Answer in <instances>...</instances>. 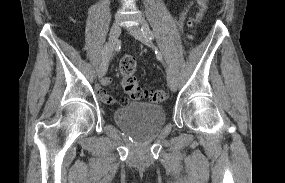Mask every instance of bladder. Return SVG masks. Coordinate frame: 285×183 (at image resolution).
<instances>
[{
    "mask_svg": "<svg viewBox=\"0 0 285 183\" xmlns=\"http://www.w3.org/2000/svg\"><path fill=\"white\" fill-rule=\"evenodd\" d=\"M115 122L129 131L151 134L158 131L166 120L165 109L157 104L131 103L116 109Z\"/></svg>",
    "mask_w": 285,
    "mask_h": 183,
    "instance_id": "31cf9c89",
    "label": "bladder"
}]
</instances>
